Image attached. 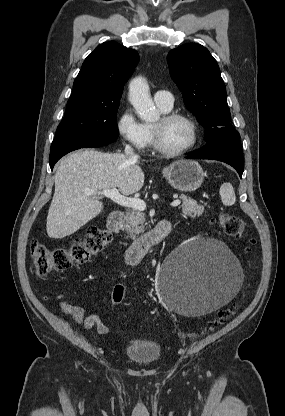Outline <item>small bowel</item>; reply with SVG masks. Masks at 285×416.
<instances>
[{"label":"small bowel","mask_w":285,"mask_h":416,"mask_svg":"<svg viewBox=\"0 0 285 416\" xmlns=\"http://www.w3.org/2000/svg\"><path fill=\"white\" fill-rule=\"evenodd\" d=\"M60 308L65 314L71 315L75 324L84 330L95 328L100 335H106L109 332L108 326L99 314L86 315L82 307L68 304L65 301L60 302Z\"/></svg>","instance_id":"1"}]
</instances>
